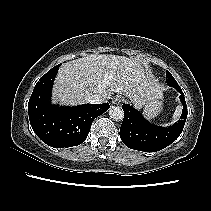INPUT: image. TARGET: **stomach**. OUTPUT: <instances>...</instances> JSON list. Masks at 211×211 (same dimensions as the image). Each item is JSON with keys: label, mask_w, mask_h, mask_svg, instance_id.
Returning a JSON list of instances; mask_svg holds the SVG:
<instances>
[{"label": "stomach", "mask_w": 211, "mask_h": 211, "mask_svg": "<svg viewBox=\"0 0 211 211\" xmlns=\"http://www.w3.org/2000/svg\"><path fill=\"white\" fill-rule=\"evenodd\" d=\"M160 99L151 100L145 103L143 114L146 119L151 120L161 112L163 102Z\"/></svg>", "instance_id": "0dacf381"}]
</instances>
